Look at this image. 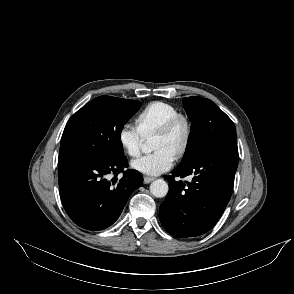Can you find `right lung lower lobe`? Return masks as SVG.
Segmentation results:
<instances>
[{"instance_id": "right-lung-lower-lobe-1", "label": "right lung lower lobe", "mask_w": 294, "mask_h": 294, "mask_svg": "<svg viewBox=\"0 0 294 294\" xmlns=\"http://www.w3.org/2000/svg\"><path fill=\"white\" fill-rule=\"evenodd\" d=\"M126 157L85 160L58 167L59 191L69 217L87 230H102L120 216L130 194L143 184L142 174L127 170ZM114 174L112 180L108 175Z\"/></svg>"}]
</instances>
